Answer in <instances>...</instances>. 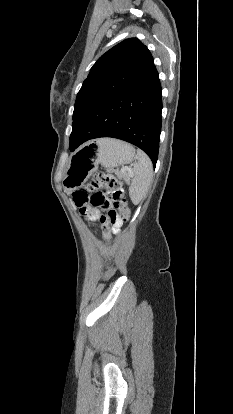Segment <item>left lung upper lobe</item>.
Wrapping results in <instances>:
<instances>
[{"mask_svg": "<svg viewBox=\"0 0 233 414\" xmlns=\"http://www.w3.org/2000/svg\"><path fill=\"white\" fill-rule=\"evenodd\" d=\"M154 66L153 57L137 38L117 44L90 69L77 94L73 123L100 101L129 87Z\"/></svg>", "mask_w": 233, "mask_h": 414, "instance_id": "obj_1", "label": "left lung upper lobe"}]
</instances>
